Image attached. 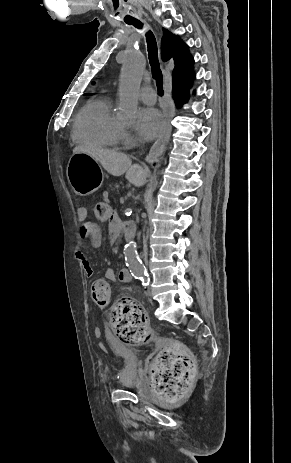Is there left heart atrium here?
Returning a JSON list of instances; mask_svg holds the SVG:
<instances>
[{
    "label": "left heart atrium",
    "instance_id": "1",
    "mask_svg": "<svg viewBox=\"0 0 291 463\" xmlns=\"http://www.w3.org/2000/svg\"><path fill=\"white\" fill-rule=\"evenodd\" d=\"M137 129L143 139H152L164 130V119L156 109L144 108L138 113Z\"/></svg>",
    "mask_w": 291,
    "mask_h": 463
}]
</instances>
